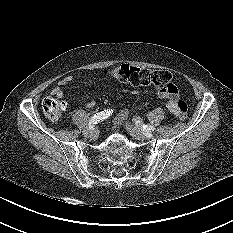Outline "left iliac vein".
Returning <instances> with one entry per match:
<instances>
[{
    "mask_svg": "<svg viewBox=\"0 0 233 233\" xmlns=\"http://www.w3.org/2000/svg\"><path fill=\"white\" fill-rule=\"evenodd\" d=\"M125 128L133 137H135L138 140L149 139L153 136L151 132H144L139 128L135 127L134 125L130 124L129 122L125 123Z\"/></svg>",
    "mask_w": 233,
    "mask_h": 233,
    "instance_id": "left-iliac-vein-1",
    "label": "left iliac vein"
}]
</instances>
